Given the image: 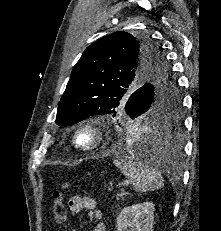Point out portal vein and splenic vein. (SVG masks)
Masks as SVG:
<instances>
[{
  "label": "portal vein and splenic vein",
  "instance_id": "obj_1",
  "mask_svg": "<svg viewBox=\"0 0 221 231\" xmlns=\"http://www.w3.org/2000/svg\"><path fill=\"white\" fill-rule=\"evenodd\" d=\"M120 185H121V186H124V185H126V183H121Z\"/></svg>",
  "mask_w": 221,
  "mask_h": 231
}]
</instances>
